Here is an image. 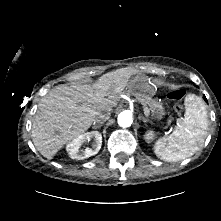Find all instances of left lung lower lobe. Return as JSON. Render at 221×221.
<instances>
[{
  "mask_svg": "<svg viewBox=\"0 0 221 221\" xmlns=\"http://www.w3.org/2000/svg\"><path fill=\"white\" fill-rule=\"evenodd\" d=\"M203 97H204V100L207 102V99H206L205 95Z\"/></svg>",
  "mask_w": 221,
  "mask_h": 221,
  "instance_id": "obj_1",
  "label": "left lung lower lobe"
}]
</instances>
